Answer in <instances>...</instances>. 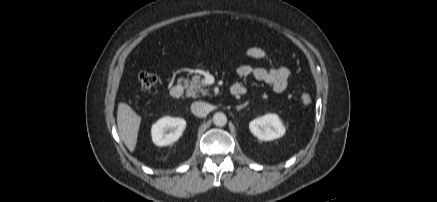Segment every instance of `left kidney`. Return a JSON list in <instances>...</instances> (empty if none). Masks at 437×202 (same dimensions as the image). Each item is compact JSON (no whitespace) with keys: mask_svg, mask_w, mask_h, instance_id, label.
Returning <instances> with one entry per match:
<instances>
[{"mask_svg":"<svg viewBox=\"0 0 437 202\" xmlns=\"http://www.w3.org/2000/svg\"><path fill=\"white\" fill-rule=\"evenodd\" d=\"M251 133L262 141L278 139L285 134V127L276 114H266L249 123Z\"/></svg>","mask_w":437,"mask_h":202,"instance_id":"obj_1","label":"left kidney"}]
</instances>
